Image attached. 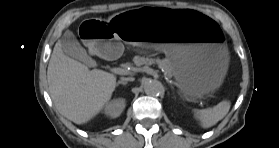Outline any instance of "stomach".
Returning a JSON list of instances; mask_svg holds the SVG:
<instances>
[{"label": "stomach", "mask_w": 279, "mask_h": 148, "mask_svg": "<svg viewBox=\"0 0 279 148\" xmlns=\"http://www.w3.org/2000/svg\"><path fill=\"white\" fill-rule=\"evenodd\" d=\"M78 45L105 59L124 51L121 41L133 46L163 50L172 76L188 100L202 98L220 87L228 65L225 31L209 17L171 6H145L81 21L75 30Z\"/></svg>", "instance_id": "1"}]
</instances>
